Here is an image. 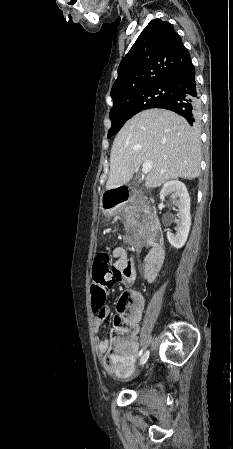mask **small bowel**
Instances as JSON below:
<instances>
[{
  "label": "small bowel",
  "mask_w": 233,
  "mask_h": 449,
  "mask_svg": "<svg viewBox=\"0 0 233 449\" xmlns=\"http://www.w3.org/2000/svg\"><path fill=\"white\" fill-rule=\"evenodd\" d=\"M112 257L114 259L112 265L111 280L112 283L116 281H121L125 286L130 287L134 284V263L132 259L127 255L126 251L121 247H115L112 250ZM142 280L151 283L155 280L154 272H143ZM141 311V309H140ZM110 313V308L104 306L93 320V329L97 333L103 321L108 317ZM140 317V313H139ZM111 344L108 339H96V353L101 359V363L105 365V359L108 357L111 360H116L117 363L112 369L119 377L127 376L132 370L138 355V344L136 333L132 335L130 342L128 344L127 350L124 352H113L110 353Z\"/></svg>",
  "instance_id": "1"
}]
</instances>
